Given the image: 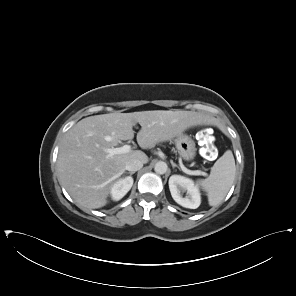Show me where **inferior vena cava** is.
Instances as JSON below:
<instances>
[{
    "mask_svg": "<svg viewBox=\"0 0 296 296\" xmlns=\"http://www.w3.org/2000/svg\"><path fill=\"white\" fill-rule=\"evenodd\" d=\"M143 167V162L139 159H130L125 166V169L131 172L140 170Z\"/></svg>",
    "mask_w": 296,
    "mask_h": 296,
    "instance_id": "1",
    "label": "inferior vena cava"
}]
</instances>
